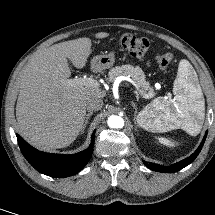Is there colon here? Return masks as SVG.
Masks as SVG:
<instances>
[{
	"label": "colon",
	"instance_id": "1",
	"mask_svg": "<svg viewBox=\"0 0 215 215\" xmlns=\"http://www.w3.org/2000/svg\"><path fill=\"white\" fill-rule=\"evenodd\" d=\"M120 46L132 57L142 58L150 49V41L146 38L125 34L120 38ZM173 60L171 53L158 55L157 63L160 68H167Z\"/></svg>",
	"mask_w": 215,
	"mask_h": 215
}]
</instances>
